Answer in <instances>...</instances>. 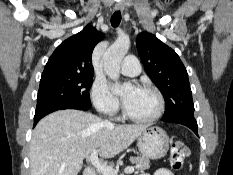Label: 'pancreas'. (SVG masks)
Listing matches in <instances>:
<instances>
[{
	"label": "pancreas",
	"mask_w": 233,
	"mask_h": 175,
	"mask_svg": "<svg viewBox=\"0 0 233 175\" xmlns=\"http://www.w3.org/2000/svg\"><path fill=\"white\" fill-rule=\"evenodd\" d=\"M130 161L132 163H135L136 164V169L137 170H146V169H149V159L148 158H145V157H141V156H138V157H131L130 158Z\"/></svg>",
	"instance_id": "1"
}]
</instances>
